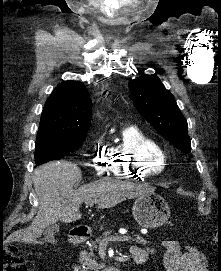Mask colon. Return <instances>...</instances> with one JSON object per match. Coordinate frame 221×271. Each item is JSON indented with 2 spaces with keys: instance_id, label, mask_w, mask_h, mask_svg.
<instances>
[{
  "instance_id": "obj_1",
  "label": "colon",
  "mask_w": 221,
  "mask_h": 271,
  "mask_svg": "<svg viewBox=\"0 0 221 271\" xmlns=\"http://www.w3.org/2000/svg\"><path fill=\"white\" fill-rule=\"evenodd\" d=\"M0 271H28L16 247L10 246L0 259Z\"/></svg>"
}]
</instances>
